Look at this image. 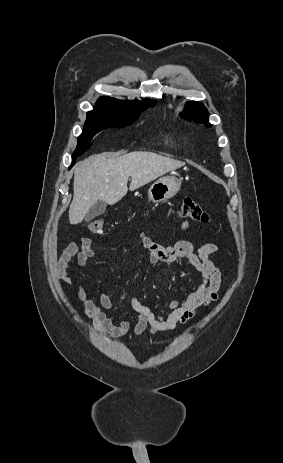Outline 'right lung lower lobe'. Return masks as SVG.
<instances>
[{"mask_svg":"<svg viewBox=\"0 0 283 463\" xmlns=\"http://www.w3.org/2000/svg\"><path fill=\"white\" fill-rule=\"evenodd\" d=\"M76 158H77V157H72V165L70 166V168L74 165ZM70 168H69V169H70Z\"/></svg>","mask_w":283,"mask_h":463,"instance_id":"right-lung-lower-lobe-1","label":"right lung lower lobe"}]
</instances>
